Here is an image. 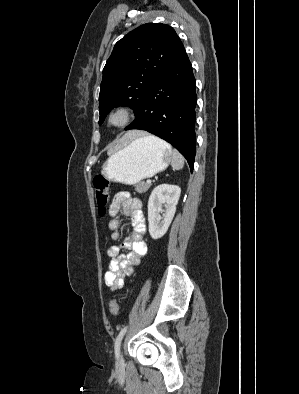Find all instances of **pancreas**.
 <instances>
[{"label": "pancreas", "instance_id": "obj_1", "mask_svg": "<svg viewBox=\"0 0 299 394\" xmlns=\"http://www.w3.org/2000/svg\"><path fill=\"white\" fill-rule=\"evenodd\" d=\"M149 187H150V184L141 182V183L135 185V190H136L138 193H145V192H147V190L149 189Z\"/></svg>", "mask_w": 299, "mask_h": 394}]
</instances>
